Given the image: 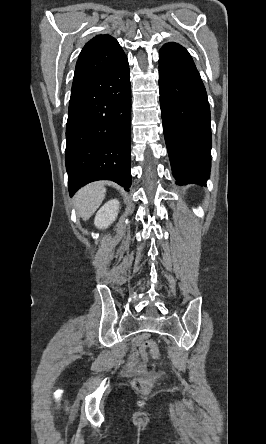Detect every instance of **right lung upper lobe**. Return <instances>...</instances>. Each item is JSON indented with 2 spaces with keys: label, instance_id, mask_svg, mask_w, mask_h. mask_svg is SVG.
<instances>
[{
  "label": "right lung upper lobe",
  "instance_id": "cb5924a9",
  "mask_svg": "<svg viewBox=\"0 0 266 444\" xmlns=\"http://www.w3.org/2000/svg\"><path fill=\"white\" fill-rule=\"evenodd\" d=\"M124 55L121 46L112 36L97 35L92 38L78 57L71 94L95 81Z\"/></svg>",
  "mask_w": 266,
  "mask_h": 444
}]
</instances>
